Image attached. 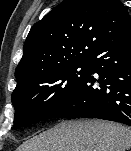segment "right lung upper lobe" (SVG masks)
<instances>
[{
	"mask_svg": "<svg viewBox=\"0 0 131 151\" xmlns=\"http://www.w3.org/2000/svg\"><path fill=\"white\" fill-rule=\"evenodd\" d=\"M131 33V16L119 0H64L31 28L15 77L17 87L74 64Z\"/></svg>",
	"mask_w": 131,
	"mask_h": 151,
	"instance_id": "obj_1",
	"label": "right lung upper lobe"
}]
</instances>
